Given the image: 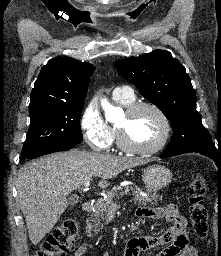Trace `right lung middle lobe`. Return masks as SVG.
<instances>
[{
    "mask_svg": "<svg viewBox=\"0 0 221 256\" xmlns=\"http://www.w3.org/2000/svg\"><path fill=\"white\" fill-rule=\"evenodd\" d=\"M83 107L84 102H79L29 110L30 128L21 158H28L58 143H81L83 136L79 120Z\"/></svg>",
    "mask_w": 221,
    "mask_h": 256,
    "instance_id": "1",
    "label": "right lung middle lobe"
}]
</instances>
